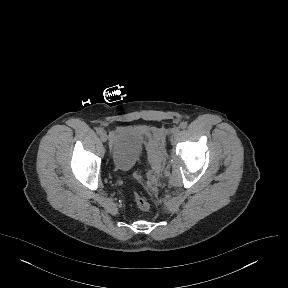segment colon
Returning <instances> with one entry per match:
<instances>
[{
  "label": "colon",
  "mask_w": 288,
  "mask_h": 288,
  "mask_svg": "<svg viewBox=\"0 0 288 288\" xmlns=\"http://www.w3.org/2000/svg\"><path fill=\"white\" fill-rule=\"evenodd\" d=\"M134 202L136 207L140 210V211H148L150 208V205L148 203V201L141 195L135 193L134 194Z\"/></svg>",
  "instance_id": "obj_1"
}]
</instances>
